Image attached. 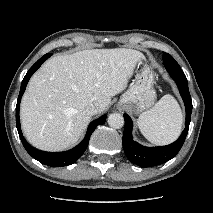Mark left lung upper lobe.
<instances>
[{
  "label": "left lung upper lobe",
  "mask_w": 213,
  "mask_h": 213,
  "mask_svg": "<svg viewBox=\"0 0 213 213\" xmlns=\"http://www.w3.org/2000/svg\"><path fill=\"white\" fill-rule=\"evenodd\" d=\"M163 63L170 74V76L175 80V82H180L187 84V78L180 68L179 64L174 60V58L168 54L163 52Z\"/></svg>",
  "instance_id": "5c2ea615"
}]
</instances>
